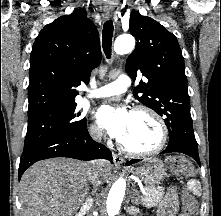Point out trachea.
Instances as JSON below:
<instances>
[{
    "instance_id": "1",
    "label": "trachea",
    "mask_w": 221,
    "mask_h": 216,
    "mask_svg": "<svg viewBox=\"0 0 221 216\" xmlns=\"http://www.w3.org/2000/svg\"><path fill=\"white\" fill-rule=\"evenodd\" d=\"M113 29L114 27L111 20L104 23L103 32H102V43H103L102 46H103V51L108 59L111 58Z\"/></svg>"
}]
</instances>
